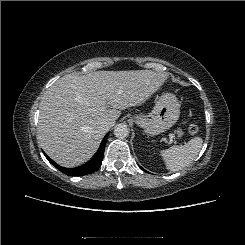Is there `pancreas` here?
<instances>
[{
  "mask_svg": "<svg viewBox=\"0 0 245 245\" xmlns=\"http://www.w3.org/2000/svg\"><path fill=\"white\" fill-rule=\"evenodd\" d=\"M178 133H179V135H182L183 134L181 131H179Z\"/></svg>",
  "mask_w": 245,
  "mask_h": 245,
  "instance_id": "cf45deb5",
  "label": "pancreas"
}]
</instances>
